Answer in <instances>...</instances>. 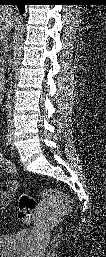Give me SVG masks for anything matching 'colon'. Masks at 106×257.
<instances>
[{"label": "colon", "instance_id": "5ec220e1", "mask_svg": "<svg viewBox=\"0 0 106 257\" xmlns=\"http://www.w3.org/2000/svg\"><path fill=\"white\" fill-rule=\"evenodd\" d=\"M44 198L41 208L48 205L59 206V210L69 211L73 205L72 199L64 192L55 188H46L41 191ZM38 205L33 196L22 194L18 202V218L22 223L29 224L35 218V210Z\"/></svg>", "mask_w": 106, "mask_h": 257}]
</instances>
